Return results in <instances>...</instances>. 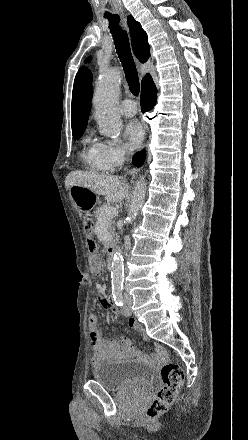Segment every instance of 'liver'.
Listing matches in <instances>:
<instances>
[{
  "label": "liver",
  "instance_id": "1",
  "mask_svg": "<svg viewBox=\"0 0 248 440\" xmlns=\"http://www.w3.org/2000/svg\"><path fill=\"white\" fill-rule=\"evenodd\" d=\"M79 185L90 189L98 195L105 196L109 202H121L127 196L128 185L121 182L120 177L105 174H95L84 171H73L65 179V188Z\"/></svg>",
  "mask_w": 248,
  "mask_h": 440
}]
</instances>
